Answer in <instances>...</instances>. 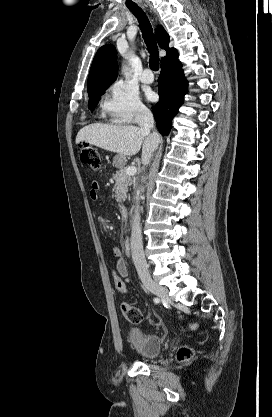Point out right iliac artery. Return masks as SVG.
<instances>
[{"label":"right iliac artery","mask_w":272,"mask_h":417,"mask_svg":"<svg viewBox=\"0 0 272 417\" xmlns=\"http://www.w3.org/2000/svg\"><path fill=\"white\" fill-rule=\"evenodd\" d=\"M153 301H154L155 303H159V302H160V299H159V298H154V299H153Z\"/></svg>","instance_id":"82829eb1"}]
</instances>
